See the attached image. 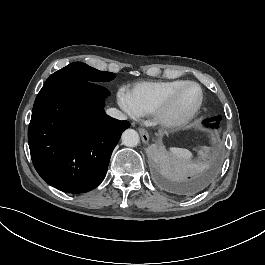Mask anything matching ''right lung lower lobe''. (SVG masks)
Returning a JSON list of instances; mask_svg holds the SVG:
<instances>
[{"label":"right lung lower lobe","instance_id":"right-lung-lower-lobe-1","mask_svg":"<svg viewBox=\"0 0 265 265\" xmlns=\"http://www.w3.org/2000/svg\"><path fill=\"white\" fill-rule=\"evenodd\" d=\"M110 92L94 82L43 87L28 128L32 162L49 185L83 193L104 179L121 132L130 126L104 112Z\"/></svg>","mask_w":265,"mask_h":265}]
</instances>
